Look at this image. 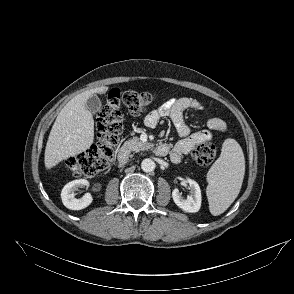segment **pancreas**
I'll list each match as a JSON object with an SVG mask.
<instances>
[{"mask_svg": "<svg viewBox=\"0 0 294 294\" xmlns=\"http://www.w3.org/2000/svg\"><path fill=\"white\" fill-rule=\"evenodd\" d=\"M149 148V143L142 142L138 137H133L123 144V149L138 152Z\"/></svg>", "mask_w": 294, "mask_h": 294, "instance_id": "pancreas-1", "label": "pancreas"}]
</instances>
